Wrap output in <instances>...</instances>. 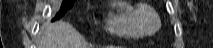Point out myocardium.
I'll return each mask as SVG.
<instances>
[{"label": "myocardium", "instance_id": "obj_1", "mask_svg": "<svg viewBox=\"0 0 213 48\" xmlns=\"http://www.w3.org/2000/svg\"><path fill=\"white\" fill-rule=\"evenodd\" d=\"M146 16H151L155 20V27L152 30H149L147 28ZM136 21L140 27V29L146 34V35H152L154 34L161 26V21L159 18L158 13L149 6H141L139 7V11L136 13Z\"/></svg>", "mask_w": 213, "mask_h": 48}]
</instances>
